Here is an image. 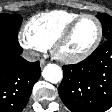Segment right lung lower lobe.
Here are the masks:
<instances>
[{
  "instance_id": "right-lung-lower-lobe-1",
  "label": "right lung lower lobe",
  "mask_w": 112,
  "mask_h": 112,
  "mask_svg": "<svg viewBox=\"0 0 112 112\" xmlns=\"http://www.w3.org/2000/svg\"><path fill=\"white\" fill-rule=\"evenodd\" d=\"M19 43L0 39V112H21L39 79V62L21 57Z\"/></svg>"
}]
</instances>
